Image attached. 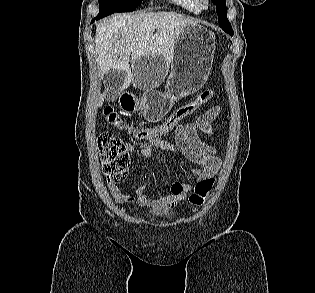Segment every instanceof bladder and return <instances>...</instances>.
<instances>
[{
  "label": "bladder",
  "mask_w": 315,
  "mask_h": 293,
  "mask_svg": "<svg viewBox=\"0 0 315 293\" xmlns=\"http://www.w3.org/2000/svg\"><path fill=\"white\" fill-rule=\"evenodd\" d=\"M147 215L150 217H168L169 218V217L173 216V213L166 211V210H163V209H155V210L148 212Z\"/></svg>",
  "instance_id": "bladder-1"
}]
</instances>
